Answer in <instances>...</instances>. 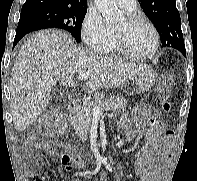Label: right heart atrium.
Listing matches in <instances>:
<instances>
[{
  "label": "right heart atrium",
  "mask_w": 197,
  "mask_h": 181,
  "mask_svg": "<svg viewBox=\"0 0 197 181\" xmlns=\"http://www.w3.org/2000/svg\"><path fill=\"white\" fill-rule=\"evenodd\" d=\"M81 35L86 46L95 52H103L113 40L112 31L105 25L100 14L90 8L81 25Z\"/></svg>",
  "instance_id": "obj_1"
}]
</instances>
